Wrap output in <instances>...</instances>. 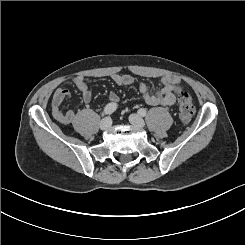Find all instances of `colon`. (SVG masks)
Returning a JSON list of instances; mask_svg holds the SVG:
<instances>
[{
	"label": "colon",
	"instance_id": "5ec220e1",
	"mask_svg": "<svg viewBox=\"0 0 245 245\" xmlns=\"http://www.w3.org/2000/svg\"><path fill=\"white\" fill-rule=\"evenodd\" d=\"M175 92L178 96L179 117L183 123H189L195 114L192 98L182 86H177Z\"/></svg>",
	"mask_w": 245,
	"mask_h": 245
}]
</instances>
